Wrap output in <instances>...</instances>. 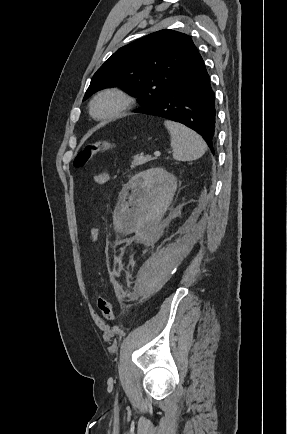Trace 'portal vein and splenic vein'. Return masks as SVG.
<instances>
[{
    "mask_svg": "<svg viewBox=\"0 0 287 434\" xmlns=\"http://www.w3.org/2000/svg\"><path fill=\"white\" fill-rule=\"evenodd\" d=\"M160 155H161V153L159 151L154 152V156L158 157Z\"/></svg>",
    "mask_w": 287,
    "mask_h": 434,
    "instance_id": "1",
    "label": "portal vein and splenic vein"
}]
</instances>
